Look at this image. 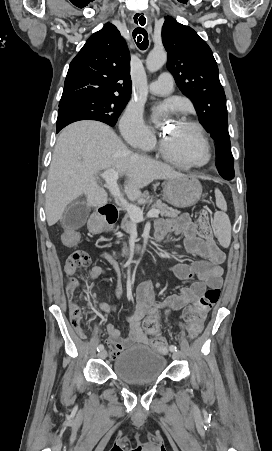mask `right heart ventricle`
I'll return each mask as SVG.
<instances>
[{"label":"right heart ventricle","instance_id":"1","mask_svg":"<svg viewBox=\"0 0 272 451\" xmlns=\"http://www.w3.org/2000/svg\"><path fill=\"white\" fill-rule=\"evenodd\" d=\"M170 103L177 104L178 102L176 100H170Z\"/></svg>","mask_w":272,"mask_h":451}]
</instances>
